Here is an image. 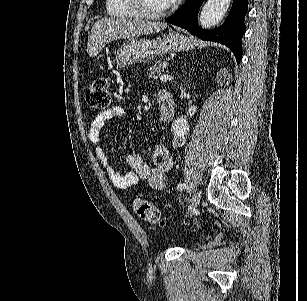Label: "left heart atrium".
<instances>
[{
  "mask_svg": "<svg viewBox=\"0 0 307 301\" xmlns=\"http://www.w3.org/2000/svg\"><path fill=\"white\" fill-rule=\"evenodd\" d=\"M183 0H162L164 4H182Z\"/></svg>",
  "mask_w": 307,
  "mask_h": 301,
  "instance_id": "obj_1",
  "label": "left heart atrium"
}]
</instances>
